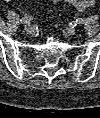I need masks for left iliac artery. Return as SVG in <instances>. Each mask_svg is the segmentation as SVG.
I'll return each instance as SVG.
<instances>
[{"mask_svg": "<svg viewBox=\"0 0 100 118\" xmlns=\"http://www.w3.org/2000/svg\"><path fill=\"white\" fill-rule=\"evenodd\" d=\"M83 23H84L83 19L79 18V19H76V21L74 22V26L81 25Z\"/></svg>", "mask_w": 100, "mask_h": 118, "instance_id": "left-iliac-artery-1", "label": "left iliac artery"}]
</instances>
